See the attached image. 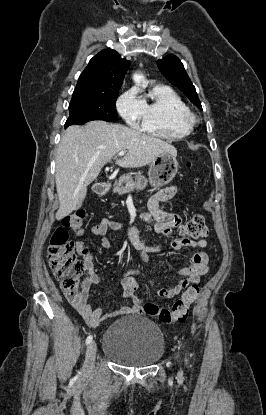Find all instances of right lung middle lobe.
<instances>
[{"label": "right lung middle lobe", "instance_id": "1", "mask_svg": "<svg viewBox=\"0 0 266 415\" xmlns=\"http://www.w3.org/2000/svg\"><path fill=\"white\" fill-rule=\"evenodd\" d=\"M118 91L102 93H73L69 104V118L65 128L73 124H85L92 120H117L116 99Z\"/></svg>", "mask_w": 266, "mask_h": 415}]
</instances>
